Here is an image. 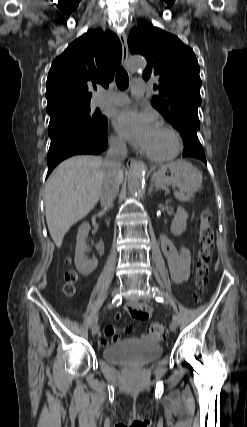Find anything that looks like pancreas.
<instances>
[{
    "mask_svg": "<svg viewBox=\"0 0 247 427\" xmlns=\"http://www.w3.org/2000/svg\"><path fill=\"white\" fill-rule=\"evenodd\" d=\"M176 196H177L178 199H180L182 201H188L191 198V196L186 195V194H184L182 192L177 193Z\"/></svg>",
    "mask_w": 247,
    "mask_h": 427,
    "instance_id": "pancreas-1",
    "label": "pancreas"
}]
</instances>
